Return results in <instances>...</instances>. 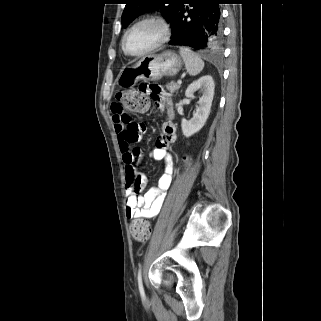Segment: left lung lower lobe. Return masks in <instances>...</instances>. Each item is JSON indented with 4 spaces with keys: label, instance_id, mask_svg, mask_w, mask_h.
Segmentation results:
<instances>
[{
    "label": "left lung lower lobe",
    "instance_id": "1",
    "mask_svg": "<svg viewBox=\"0 0 321 321\" xmlns=\"http://www.w3.org/2000/svg\"><path fill=\"white\" fill-rule=\"evenodd\" d=\"M219 4H223V0H183L171 20L169 44L219 54L223 44Z\"/></svg>",
    "mask_w": 321,
    "mask_h": 321
}]
</instances>
